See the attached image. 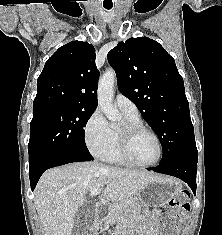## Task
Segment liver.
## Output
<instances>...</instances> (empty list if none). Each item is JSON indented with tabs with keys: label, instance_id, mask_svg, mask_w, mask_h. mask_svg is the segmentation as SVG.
Returning <instances> with one entry per match:
<instances>
[{
	"label": "liver",
	"instance_id": "liver-1",
	"mask_svg": "<svg viewBox=\"0 0 222 235\" xmlns=\"http://www.w3.org/2000/svg\"><path fill=\"white\" fill-rule=\"evenodd\" d=\"M159 178L140 170L105 166L98 162H79L44 172L36 189L34 204L44 235H71L74 217L94 188L113 203L125 202Z\"/></svg>",
	"mask_w": 222,
	"mask_h": 235
}]
</instances>
